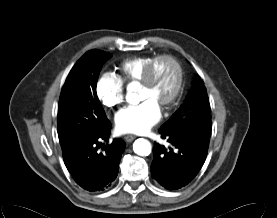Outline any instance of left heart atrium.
<instances>
[{
  "label": "left heart atrium",
  "mask_w": 277,
  "mask_h": 218,
  "mask_svg": "<svg viewBox=\"0 0 277 218\" xmlns=\"http://www.w3.org/2000/svg\"><path fill=\"white\" fill-rule=\"evenodd\" d=\"M159 118L158 103L152 98H147L137 105L119 111L116 127L120 132H142L153 126Z\"/></svg>",
  "instance_id": "left-heart-atrium-1"
}]
</instances>
